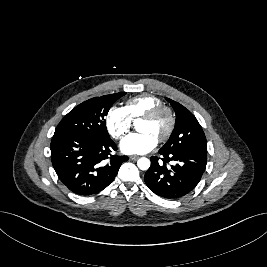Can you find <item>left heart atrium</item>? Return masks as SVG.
I'll list each match as a JSON object with an SVG mask.
<instances>
[{
    "mask_svg": "<svg viewBox=\"0 0 267 267\" xmlns=\"http://www.w3.org/2000/svg\"><path fill=\"white\" fill-rule=\"evenodd\" d=\"M158 139L148 133H134L126 136L120 143V149L125 154H145L153 150Z\"/></svg>",
    "mask_w": 267,
    "mask_h": 267,
    "instance_id": "1",
    "label": "left heart atrium"
}]
</instances>
